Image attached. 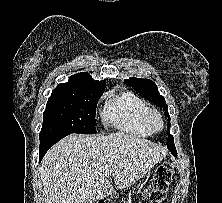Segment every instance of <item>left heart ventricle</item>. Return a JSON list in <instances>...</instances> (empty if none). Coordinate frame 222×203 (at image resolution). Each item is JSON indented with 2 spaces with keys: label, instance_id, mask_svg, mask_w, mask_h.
<instances>
[{
  "label": "left heart ventricle",
  "instance_id": "left-heart-ventricle-1",
  "mask_svg": "<svg viewBox=\"0 0 222 203\" xmlns=\"http://www.w3.org/2000/svg\"><path fill=\"white\" fill-rule=\"evenodd\" d=\"M153 125H154L155 128H159V127H160V122H159V120L156 119V118H154V119H153Z\"/></svg>",
  "mask_w": 222,
  "mask_h": 203
}]
</instances>
